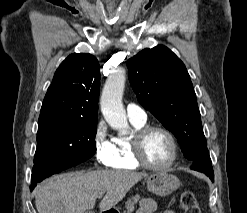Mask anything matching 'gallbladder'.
I'll return each mask as SVG.
<instances>
[{"mask_svg": "<svg viewBox=\"0 0 247 213\" xmlns=\"http://www.w3.org/2000/svg\"><path fill=\"white\" fill-rule=\"evenodd\" d=\"M86 213H93V212L89 211V212H86Z\"/></svg>", "mask_w": 247, "mask_h": 213, "instance_id": "obj_1", "label": "gallbladder"}]
</instances>
